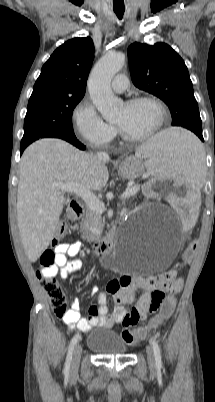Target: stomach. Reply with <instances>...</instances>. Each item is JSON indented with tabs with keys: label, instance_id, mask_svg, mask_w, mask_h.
Segmentation results:
<instances>
[{
	"label": "stomach",
	"instance_id": "obj_1",
	"mask_svg": "<svg viewBox=\"0 0 215 402\" xmlns=\"http://www.w3.org/2000/svg\"><path fill=\"white\" fill-rule=\"evenodd\" d=\"M144 170V165L138 155L126 157L118 167L119 175L124 179L129 180L140 177L143 174Z\"/></svg>",
	"mask_w": 215,
	"mask_h": 402
}]
</instances>
